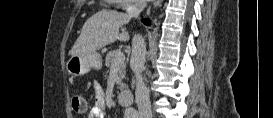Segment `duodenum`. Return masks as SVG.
Wrapping results in <instances>:
<instances>
[{
    "label": "duodenum",
    "instance_id": "410a0bca",
    "mask_svg": "<svg viewBox=\"0 0 273 118\" xmlns=\"http://www.w3.org/2000/svg\"><path fill=\"white\" fill-rule=\"evenodd\" d=\"M118 101L123 106H131L134 102V95L130 90H122L118 94Z\"/></svg>",
    "mask_w": 273,
    "mask_h": 118
}]
</instances>
